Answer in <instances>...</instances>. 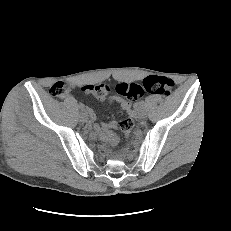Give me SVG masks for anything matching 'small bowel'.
<instances>
[{
    "mask_svg": "<svg viewBox=\"0 0 231 231\" xmlns=\"http://www.w3.org/2000/svg\"><path fill=\"white\" fill-rule=\"evenodd\" d=\"M103 84H106V83L84 85L82 86V90L84 92L92 93V94L102 97L103 94L101 91L104 89L103 88L101 89L100 86ZM108 103L110 104L119 103L121 109L127 111L130 115L135 116L136 114L135 109L133 108L132 104L129 101L119 99V98H110L108 99ZM116 127H117L116 122H108L103 125L95 124V128L100 134V137L102 138V140L111 145H115L118 143V137L113 132V130Z\"/></svg>",
    "mask_w": 231,
    "mask_h": 231,
    "instance_id": "obj_1",
    "label": "small bowel"
}]
</instances>
